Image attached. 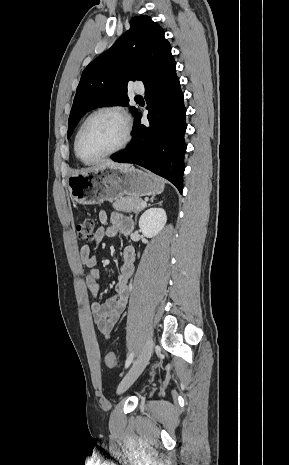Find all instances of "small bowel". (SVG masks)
<instances>
[{
    "label": "small bowel",
    "instance_id": "small-bowel-1",
    "mask_svg": "<svg viewBox=\"0 0 289 465\" xmlns=\"http://www.w3.org/2000/svg\"><path fill=\"white\" fill-rule=\"evenodd\" d=\"M98 218L102 224L95 233V242L98 245L107 237H112L117 233L127 235L133 230V222L119 212L108 214L106 211H100ZM80 259L82 264L87 267L86 285L88 292L91 297L97 299L100 292V271L97 268L96 257L91 254L88 244H84L80 248ZM134 259V249L130 246L125 247L121 254V265L117 274L115 294L104 303L100 301L92 303L91 310L94 323L106 337L111 334L126 307L130 295V280L134 272Z\"/></svg>",
    "mask_w": 289,
    "mask_h": 465
}]
</instances>
